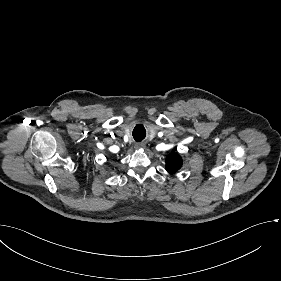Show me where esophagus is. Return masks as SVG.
<instances>
[{
  "instance_id": "1",
  "label": "esophagus",
  "mask_w": 281,
  "mask_h": 281,
  "mask_svg": "<svg viewBox=\"0 0 281 281\" xmlns=\"http://www.w3.org/2000/svg\"><path fill=\"white\" fill-rule=\"evenodd\" d=\"M144 146H145L144 143H136V144H135V149H140V148H142V147H144Z\"/></svg>"
}]
</instances>
